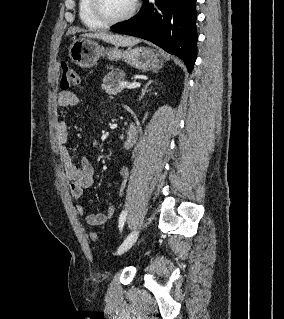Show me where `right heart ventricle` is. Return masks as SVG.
Returning <instances> with one entry per match:
<instances>
[{
	"label": "right heart ventricle",
	"mask_w": 284,
	"mask_h": 319,
	"mask_svg": "<svg viewBox=\"0 0 284 319\" xmlns=\"http://www.w3.org/2000/svg\"><path fill=\"white\" fill-rule=\"evenodd\" d=\"M78 14L84 26L91 30L102 29L106 26L93 15L90 0H78Z\"/></svg>",
	"instance_id": "1"
}]
</instances>
